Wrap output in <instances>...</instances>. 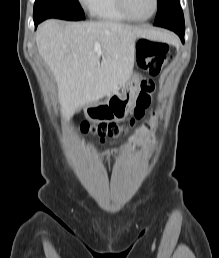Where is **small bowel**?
Masks as SVG:
<instances>
[{
    "mask_svg": "<svg viewBox=\"0 0 219 258\" xmlns=\"http://www.w3.org/2000/svg\"><path fill=\"white\" fill-rule=\"evenodd\" d=\"M123 150H119V151H114V150H108L107 152H106V154L108 155V156H113V155H115V154H117V153H121Z\"/></svg>",
    "mask_w": 219,
    "mask_h": 258,
    "instance_id": "c3829d8e",
    "label": "small bowel"
}]
</instances>
